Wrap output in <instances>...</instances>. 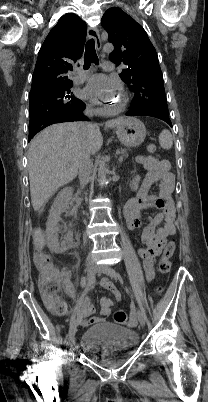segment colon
<instances>
[{
    "mask_svg": "<svg viewBox=\"0 0 208 402\" xmlns=\"http://www.w3.org/2000/svg\"><path fill=\"white\" fill-rule=\"evenodd\" d=\"M147 151L156 153V146L149 144ZM46 238L47 235L45 232H38L34 237V244L39 245V248H44ZM175 247L174 241H170L166 245L163 255L158 262V272L160 275L170 273L172 268L171 258ZM33 257L36 259L35 268L38 270V275L42 277L41 282L38 283V294L43 295L45 308H51L52 314H65L67 310L64 305L65 303H62V299H59V286L63 285V278L59 277L54 263L49 262L46 250H34ZM114 321L121 325L127 324V314L123 310L116 311L114 313Z\"/></svg>",
    "mask_w": 208,
    "mask_h": 402,
    "instance_id": "5ec220e1",
    "label": "colon"
}]
</instances>
